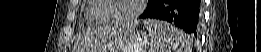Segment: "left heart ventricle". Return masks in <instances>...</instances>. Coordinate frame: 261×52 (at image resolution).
Masks as SVG:
<instances>
[{
    "mask_svg": "<svg viewBox=\"0 0 261 52\" xmlns=\"http://www.w3.org/2000/svg\"><path fill=\"white\" fill-rule=\"evenodd\" d=\"M110 18L123 19L132 14L138 5V0H110Z\"/></svg>",
    "mask_w": 261,
    "mask_h": 52,
    "instance_id": "obj_1",
    "label": "left heart ventricle"
}]
</instances>
